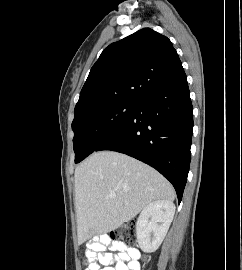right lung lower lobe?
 Returning <instances> with one entry per match:
<instances>
[{
  "label": "right lung lower lobe",
  "mask_w": 242,
  "mask_h": 270,
  "mask_svg": "<svg viewBox=\"0 0 242 270\" xmlns=\"http://www.w3.org/2000/svg\"><path fill=\"white\" fill-rule=\"evenodd\" d=\"M193 107L182 68L136 102L124 124L96 151L112 150L158 170L181 202L190 164Z\"/></svg>",
  "instance_id": "1"
}]
</instances>
